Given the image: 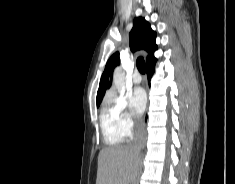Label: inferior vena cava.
Here are the masks:
<instances>
[{"instance_id":"obj_1","label":"inferior vena cava","mask_w":235,"mask_h":184,"mask_svg":"<svg viewBox=\"0 0 235 184\" xmlns=\"http://www.w3.org/2000/svg\"><path fill=\"white\" fill-rule=\"evenodd\" d=\"M146 144V130L142 118H136L134 128V138L130 144L134 154L140 156L142 148Z\"/></svg>"}]
</instances>
